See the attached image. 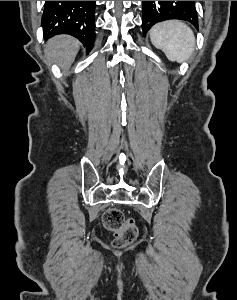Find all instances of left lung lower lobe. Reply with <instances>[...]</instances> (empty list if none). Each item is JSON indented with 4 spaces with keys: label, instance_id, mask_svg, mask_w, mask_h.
I'll use <instances>...</instances> for the list:
<instances>
[{
    "label": "left lung lower lobe",
    "instance_id": "left-lung-lower-lobe-1",
    "mask_svg": "<svg viewBox=\"0 0 237 300\" xmlns=\"http://www.w3.org/2000/svg\"><path fill=\"white\" fill-rule=\"evenodd\" d=\"M158 3H162V1H158ZM171 3L179 5L181 7L189 8V9L194 10L196 12L195 4L192 1H171Z\"/></svg>",
    "mask_w": 237,
    "mask_h": 300
}]
</instances>
